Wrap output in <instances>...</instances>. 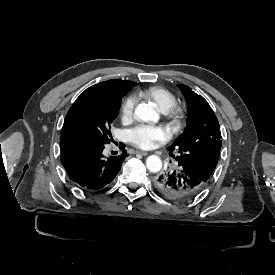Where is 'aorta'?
<instances>
[{
	"label": "aorta",
	"mask_w": 275,
	"mask_h": 275,
	"mask_svg": "<svg viewBox=\"0 0 275 275\" xmlns=\"http://www.w3.org/2000/svg\"><path fill=\"white\" fill-rule=\"evenodd\" d=\"M134 116L142 121H153L155 123L159 120V115L153 108V105L140 103L134 109ZM147 169L151 173H157L162 169V161L159 157L151 155L146 160Z\"/></svg>",
	"instance_id": "762f6f07"
}]
</instances>
